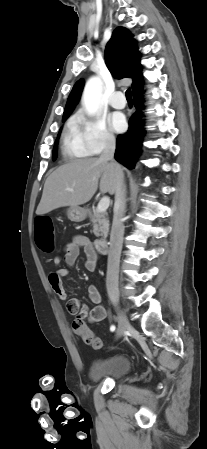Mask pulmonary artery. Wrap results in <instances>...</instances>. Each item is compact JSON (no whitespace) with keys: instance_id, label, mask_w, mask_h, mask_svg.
<instances>
[{"instance_id":"pulmonary-artery-1","label":"pulmonary artery","mask_w":207,"mask_h":449,"mask_svg":"<svg viewBox=\"0 0 207 449\" xmlns=\"http://www.w3.org/2000/svg\"><path fill=\"white\" fill-rule=\"evenodd\" d=\"M110 105L116 109H122L126 105V100L122 92L116 91L109 100Z\"/></svg>"}]
</instances>
